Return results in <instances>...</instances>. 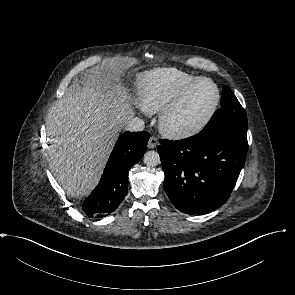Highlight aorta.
Instances as JSON below:
<instances>
[{"mask_svg": "<svg viewBox=\"0 0 295 295\" xmlns=\"http://www.w3.org/2000/svg\"><path fill=\"white\" fill-rule=\"evenodd\" d=\"M144 163L148 167L157 166L160 163V156L156 151H147L144 155Z\"/></svg>", "mask_w": 295, "mask_h": 295, "instance_id": "1", "label": "aorta"}]
</instances>
